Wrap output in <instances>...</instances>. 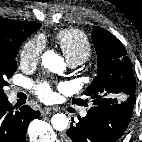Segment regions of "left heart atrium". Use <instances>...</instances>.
I'll return each mask as SVG.
<instances>
[{
    "mask_svg": "<svg viewBox=\"0 0 142 142\" xmlns=\"http://www.w3.org/2000/svg\"><path fill=\"white\" fill-rule=\"evenodd\" d=\"M34 91L36 95L43 101H49L53 95L51 86L46 82L35 85Z\"/></svg>",
    "mask_w": 142,
    "mask_h": 142,
    "instance_id": "left-heart-atrium-1",
    "label": "left heart atrium"
}]
</instances>
